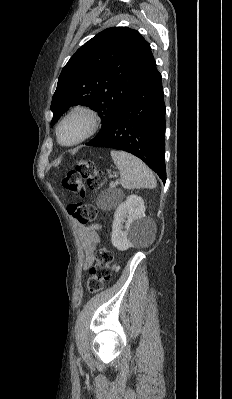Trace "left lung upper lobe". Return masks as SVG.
<instances>
[{"label": "left lung upper lobe", "instance_id": "1", "mask_svg": "<svg viewBox=\"0 0 232 399\" xmlns=\"http://www.w3.org/2000/svg\"><path fill=\"white\" fill-rule=\"evenodd\" d=\"M151 51L141 34L126 27L108 28L90 39L63 68L51 102V127L73 105L89 106L102 127L89 143L110 129L132 91Z\"/></svg>", "mask_w": 232, "mask_h": 399}]
</instances>
